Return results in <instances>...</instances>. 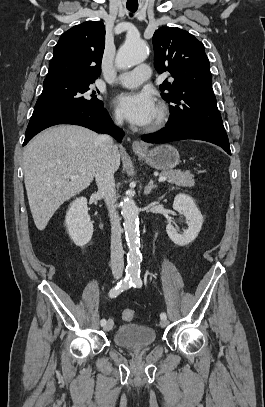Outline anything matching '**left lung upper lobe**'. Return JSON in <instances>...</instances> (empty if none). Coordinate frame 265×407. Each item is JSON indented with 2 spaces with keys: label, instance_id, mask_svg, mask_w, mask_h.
<instances>
[{
  "label": "left lung upper lobe",
  "instance_id": "1",
  "mask_svg": "<svg viewBox=\"0 0 265 407\" xmlns=\"http://www.w3.org/2000/svg\"><path fill=\"white\" fill-rule=\"evenodd\" d=\"M154 66L173 80L160 85L169 103L166 127L194 126L227 137L216 98L204 45L180 28L161 27L153 35Z\"/></svg>",
  "mask_w": 265,
  "mask_h": 407
}]
</instances>
